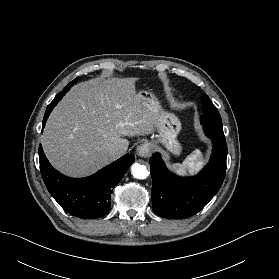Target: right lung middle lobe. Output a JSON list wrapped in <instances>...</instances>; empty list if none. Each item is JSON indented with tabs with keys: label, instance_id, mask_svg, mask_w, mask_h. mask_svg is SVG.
Here are the masks:
<instances>
[{
	"label": "right lung middle lobe",
	"instance_id": "1",
	"mask_svg": "<svg viewBox=\"0 0 279 279\" xmlns=\"http://www.w3.org/2000/svg\"><path fill=\"white\" fill-rule=\"evenodd\" d=\"M77 79H78V78L74 79V80H73L72 82H70L67 86H73V85L77 82ZM67 86H66V87H67Z\"/></svg>",
	"mask_w": 279,
	"mask_h": 279
}]
</instances>
